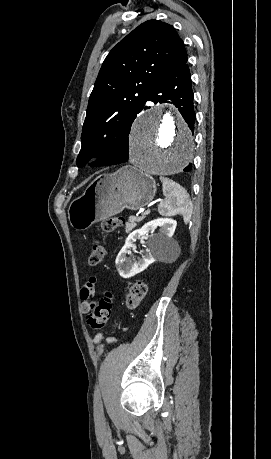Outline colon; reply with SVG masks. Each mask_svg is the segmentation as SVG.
<instances>
[{
	"instance_id": "colon-1",
	"label": "colon",
	"mask_w": 271,
	"mask_h": 459,
	"mask_svg": "<svg viewBox=\"0 0 271 459\" xmlns=\"http://www.w3.org/2000/svg\"><path fill=\"white\" fill-rule=\"evenodd\" d=\"M121 223L118 217H111L103 220L100 225L102 232H113ZM105 257V247L100 241H95L91 247L89 255V264L96 266L100 264ZM148 291V283L140 280L132 284L126 294V306L135 309L139 306ZM112 301L111 296L106 295L99 301H92L90 310L87 313V323L94 330L102 329L108 322L111 314Z\"/></svg>"
}]
</instances>
